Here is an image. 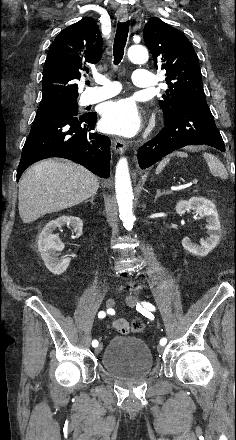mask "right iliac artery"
<instances>
[{
  "label": "right iliac artery",
  "mask_w": 236,
  "mask_h": 440,
  "mask_svg": "<svg viewBox=\"0 0 236 440\" xmlns=\"http://www.w3.org/2000/svg\"><path fill=\"white\" fill-rule=\"evenodd\" d=\"M105 315H106V313H105L104 311H100V312L98 313V317H99V318H104ZM92 346H93V347H97V346H98V341H97V340H93V341H92Z\"/></svg>",
  "instance_id": "1"
}]
</instances>
